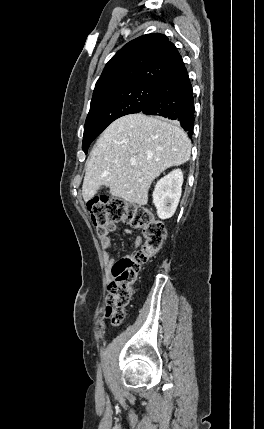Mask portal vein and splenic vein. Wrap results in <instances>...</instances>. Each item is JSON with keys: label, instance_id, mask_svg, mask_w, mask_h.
Returning a JSON list of instances; mask_svg holds the SVG:
<instances>
[{"label": "portal vein and splenic vein", "instance_id": "portal-vein-and-splenic-vein-1", "mask_svg": "<svg viewBox=\"0 0 264 429\" xmlns=\"http://www.w3.org/2000/svg\"><path fill=\"white\" fill-rule=\"evenodd\" d=\"M130 164H131V165H135V164H136V161H135V160H132V161L130 162Z\"/></svg>", "mask_w": 264, "mask_h": 429}]
</instances>
